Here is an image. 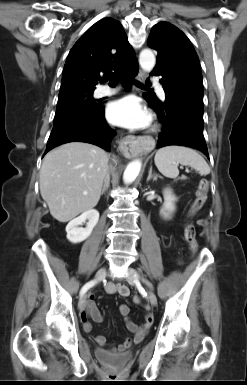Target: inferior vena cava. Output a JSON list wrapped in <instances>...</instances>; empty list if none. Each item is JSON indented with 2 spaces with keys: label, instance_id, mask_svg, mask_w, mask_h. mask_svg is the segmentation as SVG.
Instances as JSON below:
<instances>
[{
  "label": "inferior vena cava",
  "instance_id": "obj_1",
  "mask_svg": "<svg viewBox=\"0 0 247 385\" xmlns=\"http://www.w3.org/2000/svg\"><path fill=\"white\" fill-rule=\"evenodd\" d=\"M109 178V171L107 172L106 176H105V180Z\"/></svg>",
  "mask_w": 247,
  "mask_h": 385
}]
</instances>
